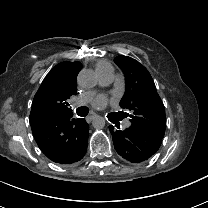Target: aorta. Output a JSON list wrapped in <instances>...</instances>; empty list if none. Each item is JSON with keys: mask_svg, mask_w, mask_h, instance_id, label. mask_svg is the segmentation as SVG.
Returning a JSON list of instances; mask_svg holds the SVG:
<instances>
[{"mask_svg": "<svg viewBox=\"0 0 208 208\" xmlns=\"http://www.w3.org/2000/svg\"><path fill=\"white\" fill-rule=\"evenodd\" d=\"M92 125L94 128L101 129L105 126V119L102 116L94 115Z\"/></svg>", "mask_w": 208, "mask_h": 208, "instance_id": "1", "label": "aorta"}]
</instances>
